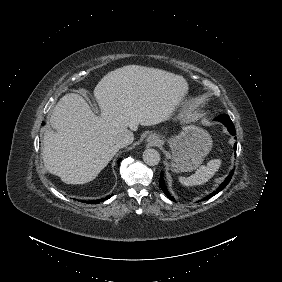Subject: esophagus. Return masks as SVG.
<instances>
[{
    "instance_id": "obj_1",
    "label": "esophagus",
    "mask_w": 282,
    "mask_h": 282,
    "mask_svg": "<svg viewBox=\"0 0 282 282\" xmlns=\"http://www.w3.org/2000/svg\"><path fill=\"white\" fill-rule=\"evenodd\" d=\"M159 141H160V139L156 135H149L148 138H147V144L149 146H156V145H158Z\"/></svg>"
}]
</instances>
